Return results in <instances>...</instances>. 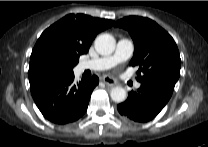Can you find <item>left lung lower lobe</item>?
Listing matches in <instances>:
<instances>
[{
  "label": "left lung lower lobe",
  "mask_w": 208,
  "mask_h": 147,
  "mask_svg": "<svg viewBox=\"0 0 208 147\" xmlns=\"http://www.w3.org/2000/svg\"><path fill=\"white\" fill-rule=\"evenodd\" d=\"M173 90L155 82L141 83L127 100L117 106L119 113L136 122L152 120L166 105Z\"/></svg>",
  "instance_id": "1"
}]
</instances>
